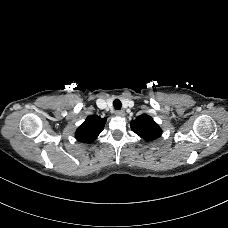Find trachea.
I'll return each instance as SVG.
<instances>
[{
  "instance_id": "trachea-1",
  "label": "trachea",
  "mask_w": 228,
  "mask_h": 228,
  "mask_svg": "<svg viewBox=\"0 0 228 228\" xmlns=\"http://www.w3.org/2000/svg\"><path fill=\"white\" fill-rule=\"evenodd\" d=\"M113 106H114V108H115L116 110H120L121 107H122L121 101L118 100V99L114 100V101H113Z\"/></svg>"
}]
</instances>
